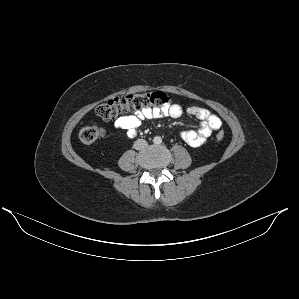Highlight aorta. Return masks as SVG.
Masks as SVG:
<instances>
[{
	"mask_svg": "<svg viewBox=\"0 0 299 299\" xmlns=\"http://www.w3.org/2000/svg\"><path fill=\"white\" fill-rule=\"evenodd\" d=\"M153 142H154V144H160L162 142V139H161V137L156 136V137H154Z\"/></svg>",
	"mask_w": 299,
	"mask_h": 299,
	"instance_id": "aorta-1",
	"label": "aorta"
}]
</instances>
